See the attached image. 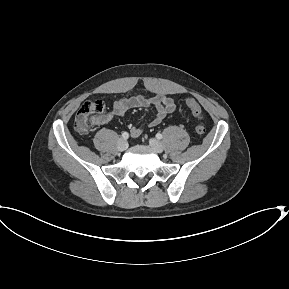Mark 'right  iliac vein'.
Segmentation results:
<instances>
[{
    "label": "right iliac vein",
    "instance_id": "63e3f726",
    "mask_svg": "<svg viewBox=\"0 0 289 289\" xmlns=\"http://www.w3.org/2000/svg\"><path fill=\"white\" fill-rule=\"evenodd\" d=\"M117 148L119 151H125L128 148V143L125 139H120L117 143Z\"/></svg>",
    "mask_w": 289,
    "mask_h": 289
}]
</instances>
